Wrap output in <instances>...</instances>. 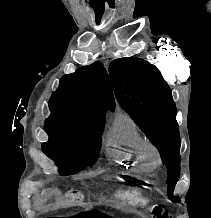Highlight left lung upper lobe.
I'll list each match as a JSON object with an SVG mask.
<instances>
[{
	"mask_svg": "<svg viewBox=\"0 0 211 218\" xmlns=\"http://www.w3.org/2000/svg\"><path fill=\"white\" fill-rule=\"evenodd\" d=\"M109 73L122 108L160 152L167 167V194L173 202L180 173V136L171 90L159 70L137 58H119L110 63Z\"/></svg>",
	"mask_w": 211,
	"mask_h": 218,
	"instance_id": "obj_1",
	"label": "left lung upper lobe"
}]
</instances>
